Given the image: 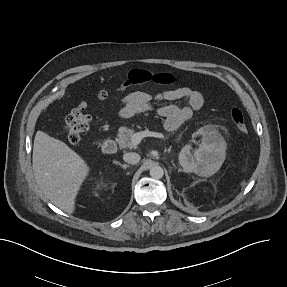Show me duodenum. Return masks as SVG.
I'll return each instance as SVG.
<instances>
[{"label": "duodenum", "mask_w": 287, "mask_h": 287, "mask_svg": "<svg viewBox=\"0 0 287 287\" xmlns=\"http://www.w3.org/2000/svg\"><path fill=\"white\" fill-rule=\"evenodd\" d=\"M102 150L105 154H114L117 152V144L112 139H106L102 144Z\"/></svg>", "instance_id": "410a0bca"}]
</instances>
